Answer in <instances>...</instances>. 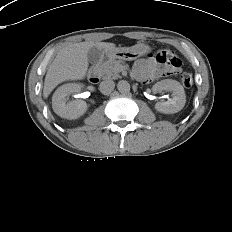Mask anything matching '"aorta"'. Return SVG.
Masks as SVG:
<instances>
[{"mask_svg":"<svg viewBox=\"0 0 232 232\" xmlns=\"http://www.w3.org/2000/svg\"><path fill=\"white\" fill-rule=\"evenodd\" d=\"M119 92L126 93L130 91V84L126 80H120L117 84Z\"/></svg>","mask_w":232,"mask_h":232,"instance_id":"762f6f07","label":"aorta"}]
</instances>
